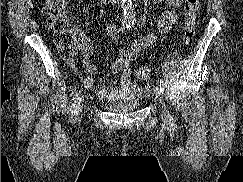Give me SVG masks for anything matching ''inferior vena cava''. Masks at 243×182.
<instances>
[{
    "label": "inferior vena cava",
    "mask_w": 243,
    "mask_h": 182,
    "mask_svg": "<svg viewBox=\"0 0 243 182\" xmlns=\"http://www.w3.org/2000/svg\"><path fill=\"white\" fill-rule=\"evenodd\" d=\"M109 2H110L113 6H115V5H117L118 0H109Z\"/></svg>",
    "instance_id": "obj_1"
}]
</instances>
